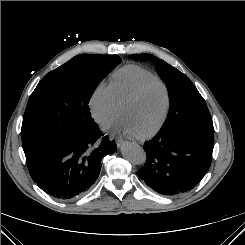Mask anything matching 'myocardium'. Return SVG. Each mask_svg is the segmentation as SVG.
Segmentation results:
<instances>
[{"label": "myocardium", "mask_w": 245, "mask_h": 245, "mask_svg": "<svg viewBox=\"0 0 245 245\" xmlns=\"http://www.w3.org/2000/svg\"><path fill=\"white\" fill-rule=\"evenodd\" d=\"M152 83H157L159 84L163 90H164V94H165V106H164V110L163 113L159 119V121L148 131L139 134L138 137L140 139H145L148 138L152 135H154L156 132H158L160 130V128L163 126V124L165 123L169 110H170V105H171V94H170V90L169 87L167 86V84L160 78L158 77H152L149 79H146L144 81H142L132 92H130L119 104V109L121 111L122 107L135 100L136 98H138L140 96V94L143 92V90L150 84Z\"/></svg>", "instance_id": "obj_1"}]
</instances>
